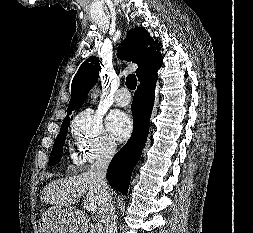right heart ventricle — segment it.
Wrapping results in <instances>:
<instances>
[{
  "label": "right heart ventricle",
  "mask_w": 253,
  "mask_h": 233,
  "mask_svg": "<svg viewBox=\"0 0 253 233\" xmlns=\"http://www.w3.org/2000/svg\"><path fill=\"white\" fill-rule=\"evenodd\" d=\"M71 160L74 165L80 167L83 164V159L79 156V154L71 149Z\"/></svg>",
  "instance_id": "obj_1"
}]
</instances>
